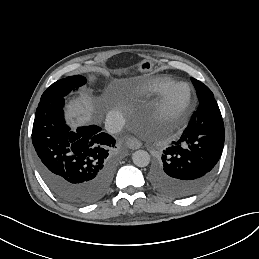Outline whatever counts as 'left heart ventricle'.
<instances>
[{"instance_id":"1","label":"left heart ventricle","mask_w":259,"mask_h":259,"mask_svg":"<svg viewBox=\"0 0 259 259\" xmlns=\"http://www.w3.org/2000/svg\"><path fill=\"white\" fill-rule=\"evenodd\" d=\"M147 86L155 93V103L169 115H176L189 102L190 91L182 81H150Z\"/></svg>"}]
</instances>
